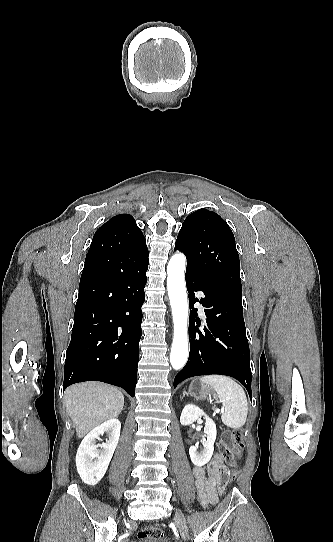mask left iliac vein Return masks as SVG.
<instances>
[{"label": "left iliac vein", "instance_id": "4c4485c4", "mask_svg": "<svg viewBox=\"0 0 333 542\" xmlns=\"http://www.w3.org/2000/svg\"><path fill=\"white\" fill-rule=\"evenodd\" d=\"M174 522L177 525V528L180 532V535L183 539H187L188 537V529L186 526L185 518L183 516V513L180 510H176Z\"/></svg>", "mask_w": 333, "mask_h": 542}]
</instances>
